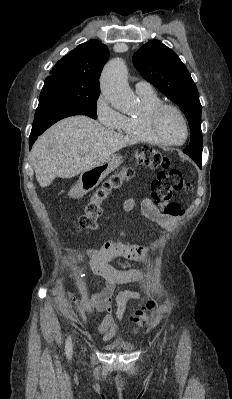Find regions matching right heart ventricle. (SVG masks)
Instances as JSON below:
<instances>
[{
	"mask_svg": "<svg viewBox=\"0 0 232 399\" xmlns=\"http://www.w3.org/2000/svg\"><path fill=\"white\" fill-rule=\"evenodd\" d=\"M142 112L137 116L122 115L115 130L125 140L135 144H145L165 148L167 145L155 139L148 131L146 118L148 113L163 102L155 95H140Z\"/></svg>",
	"mask_w": 232,
	"mask_h": 399,
	"instance_id": "e07e8e85",
	"label": "right heart ventricle"
}]
</instances>
